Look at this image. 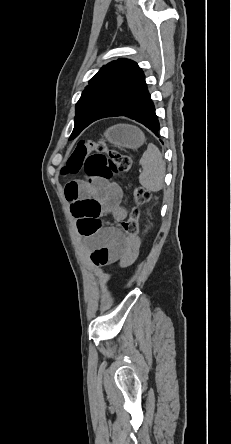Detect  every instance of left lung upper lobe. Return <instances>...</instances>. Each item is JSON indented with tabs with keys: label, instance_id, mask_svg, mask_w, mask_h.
Returning a JSON list of instances; mask_svg holds the SVG:
<instances>
[{
	"label": "left lung upper lobe",
	"instance_id": "obj_1",
	"mask_svg": "<svg viewBox=\"0 0 231 444\" xmlns=\"http://www.w3.org/2000/svg\"><path fill=\"white\" fill-rule=\"evenodd\" d=\"M144 83V73L134 61L119 59L104 65L76 104L75 126L69 139L76 138L95 120L115 115Z\"/></svg>",
	"mask_w": 231,
	"mask_h": 444
}]
</instances>
